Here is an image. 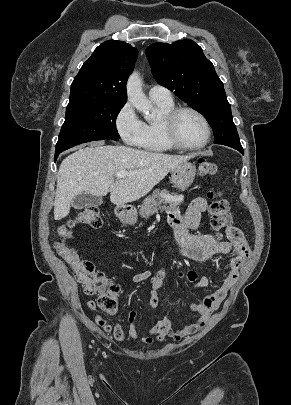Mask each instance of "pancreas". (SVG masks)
I'll use <instances>...</instances> for the list:
<instances>
[{"label":"pancreas","instance_id":"1","mask_svg":"<svg viewBox=\"0 0 291 405\" xmlns=\"http://www.w3.org/2000/svg\"><path fill=\"white\" fill-rule=\"evenodd\" d=\"M181 203L182 198L177 194L170 195L166 190L161 192L159 190H155L151 195L143 200V203L140 206L139 214L143 218H148L154 213H157L159 209H177Z\"/></svg>","mask_w":291,"mask_h":405}]
</instances>
